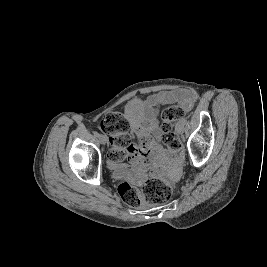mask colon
Returning a JSON list of instances; mask_svg holds the SVG:
<instances>
[{
	"mask_svg": "<svg viewBox=\"0 0 267 267\" xmlns=\"http://www.w3.org/2000/svg\"><path fill=\"white\" fill-rule=\"evenodd\" d=\"M183 115L184 110L181 107L171 105L163 110L161 122L157 126V131L161 135L166 148L174 153L180 152L182 148V143L174 131V125L182 119ZM100 128L109 136L110 148L107 153L109 161L113 164L121 163L131 153L133 142L128 134L129 123L121 114L109 112L103 116ZM118 193L128 205L135 206L139 204L141 194L130 183H120ZM171 195V186L161 180L151 179L145 184L143 197L148 202L162 204L167 202Z\"/></svg>",
	"mask_w": 267,
	"mask_h": 267,
	"instance_id": "1",
	"label": "colon"
}]
</instances>
